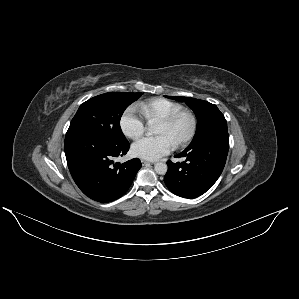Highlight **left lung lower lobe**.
Listing matches in <instances>:
<instances>
[{"label": "left lung lower lobe", "instance_id": "obj_1", "mask_svg": "<svg viewBox=\"0 0 299 299\" xmlns=\"http://www.w3.org/2000/svg\"><path fill=\"white\" fill-rule=\"evenodd\" d=\"M228 150V133L214 134L188 146L175 156L184 158L183 162H167L168 171L164 177L167 188L184 198L202 195L221 175Z\"/></svg>", "mask_w": 299, "mask_h": 299}]
</instances>
